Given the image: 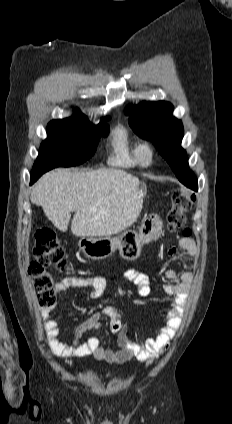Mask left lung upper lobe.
I'll use <instances>...</instances> for the list:
<instances>
[{
  "mask_svg": "<svg viewBox=\"0 0 232 424\" xmlns=\"http://www.w3.org/2000/svg\"><path fill=\"white\" fill-rule=\"evenodd\" d=\"M169 102H142L125 110L129 124L142 138L151 140L169 163L179 180L193 175L189 170L186 151L181 148L184 135L182 122L171 115Z\"/></svg>",
  "mask_w": 232,
  "mask_h": 424,
  "instance_id": "obj_1",
  "label": "left lung upper lobe"
}]
</instances>
